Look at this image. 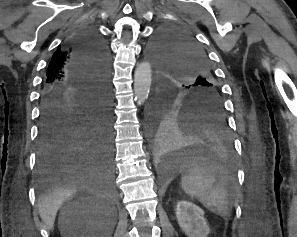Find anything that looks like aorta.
Returning a JSON list of instances; mask_svg holds the SVG:
<instances>
[{
    "mask_svg": "<svg viewBox=\"0 0 297 237\" xmlns=\"http://www.w3.org/2000/svg\"><path fill=\"white\" fill-rule=\"evenodd\" d=\"M152 81V69L149 62L140 63L134 73V95L141 105L148 98Z\"/></svg>",
    "mask_w": 297,
    "mask_h": 237,
    "instance_id": "762f6f07",
    "label": "aorta"
}]
</instances>
